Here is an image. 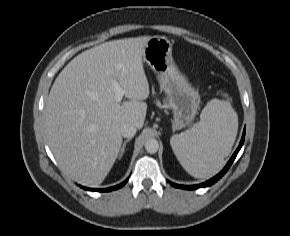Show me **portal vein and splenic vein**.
Wrapping results in <instances>:
<instances>
[{"label": "portal vein and splenic vein", "mask_w": 290, "mask_h": 236, "mask_svg": "<svg viewBox=\"0 0 290 236\" xmlns=\"http://www.w3.org/2000/svg\"><path fill=\"white\" fill-rule=\"evenodd\" d=\"M113 91L115 93L116 102L120 103L122 98H123L124 91L122 90V88L116 82L113 83Z\"/></svg>", "instance_id": "1"}]
</instances>
